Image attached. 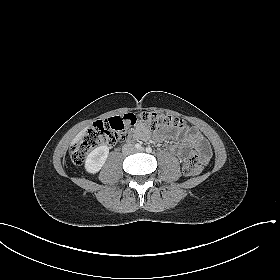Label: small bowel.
I'll return each instance as SVG.
<instances>
[{"instance_id": "1", "label": "small bowel", "mask_w": 280, "mask_h": 280, "mask_svg": "<svg viewBox=\"0 0 280 280\" xmlns=\"http://www.w3.org/2000/svg\"><path fill=\"white\" fill-rule=\"evenodd\" d=\"M134 139L146 140L149 138V131L142 124H138L132 133ZM188 148H196L198 151H210L209 144L196 129L188 130L182 139L181 145H173L170 150L175 155L182 157L184 156ZM211 154V151H210Z\"/></svg>"}]
</instances>
